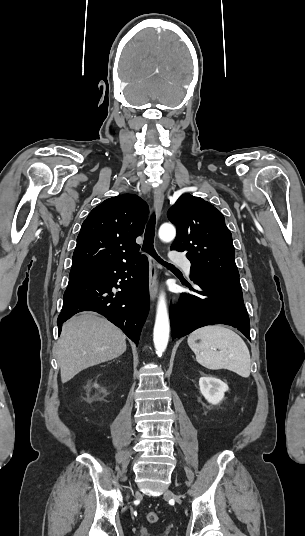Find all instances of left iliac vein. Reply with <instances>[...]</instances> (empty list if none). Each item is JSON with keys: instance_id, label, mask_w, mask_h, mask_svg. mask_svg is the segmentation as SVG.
Returning a JSON list of instances; mask_svg holds the SVG:
<instances>
[{"instance_id": "4c4485c4", "label": "left iliac vein", "mask_w": 305, "mask_h": 536, "mask_svg": "<svg viewBox=\"0 0 305 536\" xmlns=\"http://www.w3.org/2000/svg\"><path fill=\"white\" fill-rule=\"evenodd\" d=\"M166 493H167V494H169V493H170V491H169V490H167V492H166Z\"/></svg>"}]
</instances>
